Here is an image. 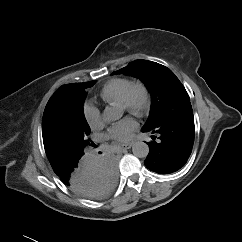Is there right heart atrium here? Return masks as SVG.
I'll list each match as a JSON object with an SVG mask.
<instances>
[{
	"mask_svg": "<svg viewBox=\"0 0 242 242\" xmlns=\"http://www.w3.org/2000/svg\"><path fill=\"white\" fill-rule=\"evenodd\" d=\"M82 113L85 121L91 128H97L102 124L101 112L90 102L84 103Z\"/></svg>",
	"mask_w": 242,
	"mask_h": 242,
	"instance_id": "right-heart-atrium-1",
	"label": "right heart atrium"
}]
</instances>
